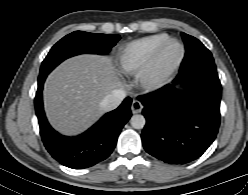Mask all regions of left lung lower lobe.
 I'll use <instances>...</instances> for the list:
<instances>
[{
    "label": "left lung lower lobe",
    "instance_id": "1",
    "mask_svg": "<svg viewBox=\"0 0 248 195\" xmlns=\"http://www.w3.org/2000/svg\"><path fill=\"white\" fill-rule=\"evenodd\" d=\"M186 88L180 102L175 85ZM146 125L144 149L170 164H185L200 157L212 144L220 125L221 84L217 73L176 77L152 93L141 95Z\"/></svg>",
    "mask_w": 248,
    "mask_h": 195
}]
</instances>
